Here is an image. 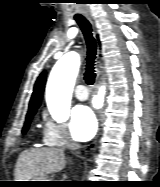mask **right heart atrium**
Wrapping results in <instances>:
<instances>
[{
  "mask_svg": "<svg viewBox=\"0 0 160 187\" xmlns=\"http://www.w3.org/2000/svg\"><path fill=\"white\" fill-rule=\"evenodd\" d=\"M43 141L48 146L70 147L75 142L64 124L58 123L47 115L43 117Z\"/></svg>",
  "mask_w": 160,
  "mask_h": 187,
  "instance_id": "obj_1",
  "label": "right heart atrium"
}]
</instances>
